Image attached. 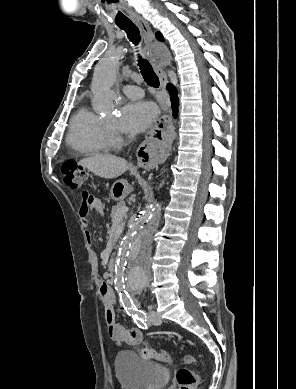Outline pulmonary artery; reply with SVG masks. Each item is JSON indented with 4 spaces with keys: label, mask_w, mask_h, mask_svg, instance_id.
<instances>
[{
    "label": "pulmonary artery",
    "mask_w": 296,
    "mask_h": 389,
    "mask_svg": "<svg viewBox=\"0 0 296 389\" xmlns=\"http://www.w3.org/2000/svg\"><path fill=\"white\" fill-rule=\"evenodd\" d=\"M123 93L133 99H138L143 96V91L140 87L134 85H125L122 87Z\"/></svg>",
    "instance_id": "pulmonary-artery-1"
}]
</instances>
